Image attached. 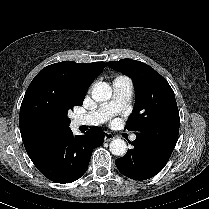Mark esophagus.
I'll use <instances>...</instances> for the list:
<instances>
[{"label": "esophagus", "mask_w": 209, "mask_h": 209, "mask_svg": "<svg viewBox=\"0 0 209 209\" xmlns=\"http://www.w3.org/2000/svg\"><path fill=\"white\" fill-rule=\"evenodd\" d=\"M114 138L115 137L112 134H110V133H105L104 134V141L105 142H109V141L113 140Z\"/></svg>", "instance_id": "obj_1"}]
</instances>
